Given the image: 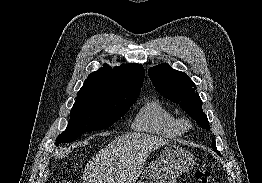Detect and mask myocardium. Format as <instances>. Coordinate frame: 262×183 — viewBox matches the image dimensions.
Here are the masks:
<instances>
[{"label": "myocardium", "mask_w": 262, "mask_h": 183, "mask_svg": "<svg viewBox=\"0 0 262 183\" xmlns=\"http://www.w3.org/2000/svg\"><path fill=\"white\" fill-rule=\"evenodd\" d=\"M180 125L182 126L183 129L187 130L191 128L192 124L188 119H182L180 120Z\"/></svg>", "instance_id": "1"}]
</instances>
